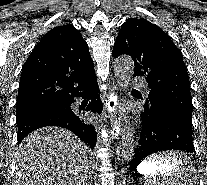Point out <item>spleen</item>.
Here are the masks:
<instances>
[{"label":"spleen","instance_id":"1","mask_svg":"<svg viewBox=\"0 0 207 185\" xmlns=\"http://www.w3.org/2000/svg\"><path fill=\"white\" fill-rule=\"evenodd\" d=\"M180 151H169V153H154V158H146V163H158V167H168L164 174H155L151 178L153 185H195L199 173L193 166L192 158H179Z\"/></svg>","mask_w":207,"mask_h":185}]
</instances>
